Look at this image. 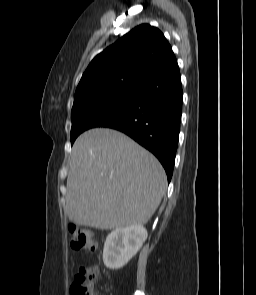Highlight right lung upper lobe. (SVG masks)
Here are the masks:
<instances>
[{"mask_svg":"<svg viewBox=\"0 0 256 295\" xmlns=\"http://www.w3.org/2000/svg\"><path fill=\"white\" fill-rule=\"evenodd\" d=\"M174 59L159 29L148 24L137 26L92 60L77 86L74 101L94 103L136 92Z\"/></svg>","mask_w":256,"mask_h":295,"instance_id":"right-lung-upper-lobe-1","label":"right lung upper lobe"}]
</instances>
